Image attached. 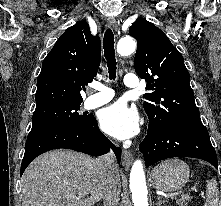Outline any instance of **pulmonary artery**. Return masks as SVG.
<instances>
[{
	"label": "pulmonary artery",
	"mask_w": 221,
	"mask_h": 206,
	"mask_svg": "<svg viewBox=\"0 0 221 206\" xmlns=\"http://www.w3.org/2000/svg\"><path fill=\"white\" fill-rule=\"evenodd\" d=\"M123 82L125 86L129 88H136L139 86V79L135 74H126L124 76ZM94 89L97 90V93L91 95L86 100L87 108H96L107 102H109L113 98V91L106 85L96 83L94 85Z\"/></svg>",
	"instance_id": "obj_1"
}]
</instances>
